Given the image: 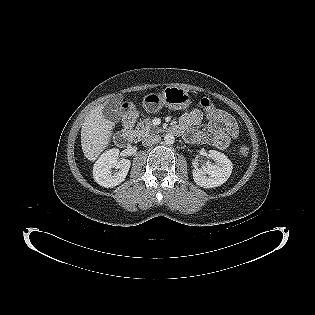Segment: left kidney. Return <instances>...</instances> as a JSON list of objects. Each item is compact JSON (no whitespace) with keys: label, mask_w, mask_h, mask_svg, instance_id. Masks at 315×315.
I'll return each instance as SVG.
<instances>
[{"label":"left kidney","mask_w":315,"mask_h":315,"mask_svg":"<svg viewBox=\"0 0 315 315\" xmlns=\"http://www.w3.org/2000/svg\"><path fill=\"white\" fill-rule=\"evenodd\" d=\"M208 157L214 163L207 162L202 168L192 171L194 182L204 188H214L225 183L232 173V162L221 152L210 150Z\"/></svg>","instance_id":"left-kidney-1"}]
</instances>
